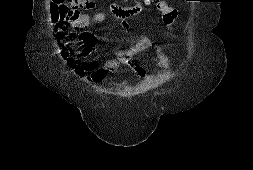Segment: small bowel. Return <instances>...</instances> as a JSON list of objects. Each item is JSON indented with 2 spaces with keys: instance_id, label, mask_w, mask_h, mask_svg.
Segmentation results:
<instances>
[{
  "instance_id": "c3829d8e",
  "label": "small bowel",
  "mask_w": 253,
  "mask_h": 170,
  "mask_svg": "<svg viewBox=\"0 0 253 170\" xmlns=\"http://www.w3.org/2000/svg\"><path fill=\"white\" fill-rule=\"evenodd\" d=\"M93 5V2H88V6ZM148 6H153L162 14V20L166 25L171 26L174 23L175 9L161 0L155 4H148L143 1L130 7L112 4L110 13L114 19L119 21L121 28L128 31L130 29L129 18L141 15ZM106 18L107 13L105 12L80 14L75 18L63 20L54 25V35L60 45V56L67 67L89 83H98L104 80L120 64L127 65L139 77H148L149 73L146 69L134 60V55L154 48V44L148 36L135 40L128 51H119L116 59L100 63L97 58H92L98 44L95 27L104 22ZM75 42L83 46L82 57H78L71 47H67V45ZM156 62L160 68L166 69L171 65V58L157 53Z\"/></svg>"
}]
</instances>
